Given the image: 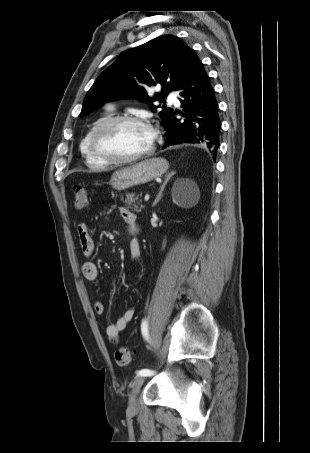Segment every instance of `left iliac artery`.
<instances>
[{"label": "left iliac artery", "instance_id": "1", "mask_svg": "<svg viewBox=\"0 0 310 453\" xmlns=\"http://www.w3.org/2000/svg\"><path fill=\"white\" fill-rule=\"evenodd\" d=\"M141 330H142V334L144 336V338L146 340H148L149 336H148V325H147V321L144 320L142 322V325H141ZM138 375L140 376H151L154 374V371L150 370V369H141L137 372Z\"/></svg>", "mask_w": 310, "mask_h": 453}]
</instances>
